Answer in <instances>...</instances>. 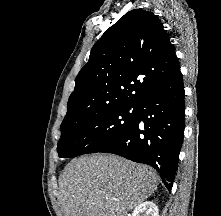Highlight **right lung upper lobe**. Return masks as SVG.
Wrapping results in <instances>:
<instances>
[{
  "instance_id": "1",
  "label": "right lung upper lobe",
  "mask_w": 221,
  "mask_h": 216,
  "mask_svg": "<svg viewBox=\"0 0 221 216\" xmlns=\"http://www.w3.org/2000/svg\"><path fill=\"white\" fill-rule=\"evenodd\" d=\"M177 72L178 58L158 18L143 9L129 11L93 46L62 123L108 107L137 106Z\"/></svg>"
}]
</instances>
